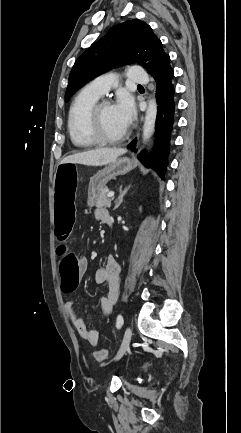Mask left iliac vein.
Returning a JSON list of instances; mask_svg holds the SVG:
<instances>
[{"label":"left iliac vein","mask_w":241,"mask_h":433,"mask_svg":"<svg viewBox=\"0 0 241 433\" xmlns=\"http://www.w3.org/2000/svg\"><path fill=\"white\" fill-rule=\"evenodd\" d=\"M131 337H132V330L130 327H127L124 333V337L120 349L115 356V360H119L129 349Z\"/></svg>","instance_id":"4c4485c4"}]
</instances>
